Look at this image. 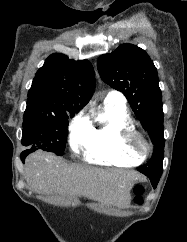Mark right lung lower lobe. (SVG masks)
<instances>
[{"label": "right lung lower lobe", "instance_id": "1", "mask_svg": "<svg viewBox=\"0 0 187 242\" xmlns=\"http://www.w3.org/2000/svg\"><path fill=\"white\" fill-rule=\"evenodd\" d=\"M34 151H35V149H27V150L23 151V152L21 153V155H20L22 162L24 163V160H25L26 156H27L28 154L34 152Z\"/></svg>", "mask_w": 187, "mask_h": 242}]
</instances>
